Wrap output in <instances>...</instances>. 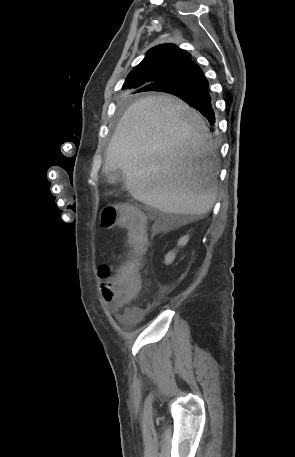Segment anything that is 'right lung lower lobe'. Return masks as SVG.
I'll list each match as a JSON object with an SVG mask.
<instances>
[{
	"label": "right lung lower lobe",
	"mask_w": 295,
	"mask_h": 457,
	"mask_svg": "<svg viewBox=\"0 0 295 457\" xmlns=\"http://www.w3.org/2000/svg\"><path fill=\"white\" fill-rule=\"evenodd\" d=\"M163 90H175L174 95L197 108L210 123L215 122L207 80L194 62L186 65L175 79L148 86L138 92Z\"/></svg>",
	"instance_id": "98d812e1"
}]
</instances>
